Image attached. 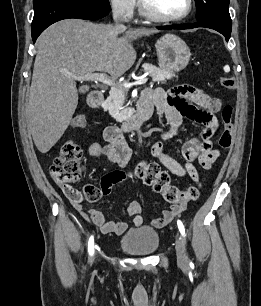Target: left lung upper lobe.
I'll list each match as a JSON object with an SVG mask.
<instances>
[{"label":"left lung upper lobe","mask_w":261,"mask_h":306,"mask_svg":"<svg viewBox=\"0 0 261 306\" xmlns=\"http://www.w3.org/2000/svg\"><path fill=\"white\" fill-rule=\"evenodd\" d=\"M230 0H195L197 20L202 23H213L229 26L232 24L229 14Z\"/></svg>","instance_id":"left-lung-upper-lobe-1"}]
</instances>
